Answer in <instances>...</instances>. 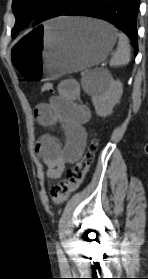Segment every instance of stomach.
Segmentation results:
<instances>
[{
  "label": "stomach",
  "mask_w": 148,
  "mask_h": 279,
  "mask_svg": "<svg viewBox=\"0 0 148 279\" xmlns=\"http://www.w3.org/2000/svg\"><path fill=\"white\" fill-rule=\"evenodd\" d=\"M117 40L115 28L100 20L60 17L15 41L11 59L20 82H53L101 63Z\"/></svg>",
  "instance_id": "stomach-1"
}]
</instances>
